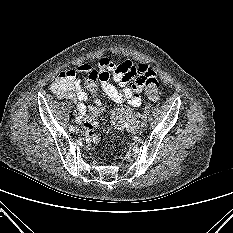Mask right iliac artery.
<instances>
[{
  "label": "right iliac artery",
  "instance_id": "82829eb1",
  "mask_svg": "<svg viewBox=\"0 0 233 233\" xmlns=\"http://www.w3.org/2000/svg\"><path fill=\"white\" fill-rule=\"evenodd\" d=\"M69 131H70V132H74V131H75L74 126L71 125V126L69 127Z\"/></svg>",
  "mask_w": 233,
  "mask_h": 233
}]
</instances>
